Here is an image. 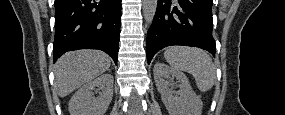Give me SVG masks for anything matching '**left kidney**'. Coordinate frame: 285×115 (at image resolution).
I'll use <instances>...</instances> for the list:
<instances>
[{
    "label": "left kidney",
    "mask_w": 285,
    "mask_h": 115,
    "mask_svg": "<svg viewBox=\"0 0 285 115\" xmlns=\"http://www.w3.org/2000/svg\"><path fill=\"white\" fill-rule=\"evenodd\" d=\"M153 72L156 87L170 115H201L203 103L183 72L159 62L154 65ZM170 76L180 83L178 91H173L170 82L164 80Z\"/></svg>",
    "instance_id": "obj_1"
}]
</instances>
